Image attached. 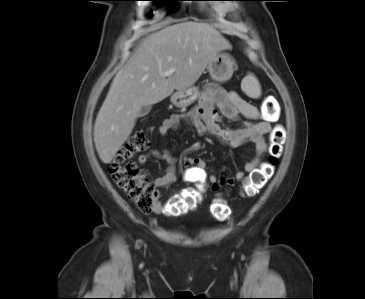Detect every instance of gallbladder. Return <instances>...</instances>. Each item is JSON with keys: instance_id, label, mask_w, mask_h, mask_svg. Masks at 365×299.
Returning a JSON list of instances; mask_svg holds the SVG:
<instances>
[{"instance_id": "gallbladder-1", "label": "gallbladder", "mask_w": 365, "mask_h": 299, "mask_svg": "<svg viewBox=\"0 0 365 299\" xmlns=\"http://www.w3.org/2000/svg\"><path fill=\"white\" fill-rule=\"evenodd\" d=\"M151 110V105H144L140 108L138 112V117L146 116Z\"/></svg>"}]
</instances>
